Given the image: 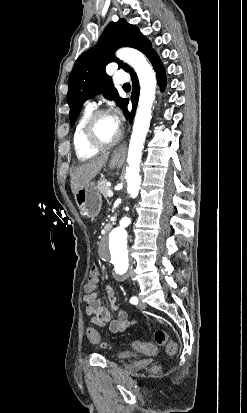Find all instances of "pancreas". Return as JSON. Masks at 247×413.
Wrapping results in <instances>:
<instances>
[{
	"instance_id": "1",
	"label": "pancreas",
	"mask_w": 247,
	"mask_h": 413,
	"mask_svg": "<svg viewBox=\"0 0 247 413\" xmlns=\"http://www.w3.org/2000/svg\"><path fill=\"white\" fill-rule=\"evenodd\" d=\"M107 182H109L107 178H100V180H98V190H100L103 196H107V190H109Z\"/></svg>"
}]
</instances>
